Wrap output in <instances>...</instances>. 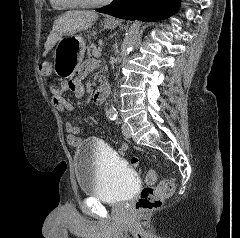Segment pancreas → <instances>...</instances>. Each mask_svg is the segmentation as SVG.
<instances>
[{
  "instance_id": "pancreas-1",
  "label": "pancreas",
  "mask_w": 240,
  "mask_h": 238,
  "mask_svg": "<svg viewBox=\"0 0 240 238\" xmlns=\"http://www.w3.org/2000/svg\"><path fill=\"white\" fill-rule=\"evenodd\" d=\"M96 51H97L96 46L92 43L87 49V55L88 56H91V55L95 56Z\"/></svg>"
}]
</instances>
